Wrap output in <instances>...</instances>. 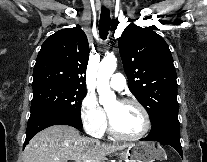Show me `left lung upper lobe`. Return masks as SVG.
Returning a JSON list of instances; mask_svg holds the SVG:
<instances>
[{
	"instance_id": "5c2ea615",
	"label": "left lung upper lobe",
	"mask_w": 207,
	"mask_h": 162,
	"mask_svg": "<svg viewBox=\"0 0 207 162\" xmlns=\"http://www.w3.org/2000/svg\"><path fill=\"white\" fill-rule=\"evenodd\" d=\"M119 51L129 88L151 122L178 113L177 75L165 40L149 28L129 25L119 38Z\"/></svg>"
}]
</instances>
